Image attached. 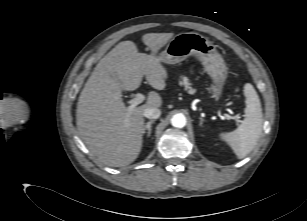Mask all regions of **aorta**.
Segmentation results:
<instances>
[{"mask_svg": "<svg viewBox=\"0 0 307 221\" xmlns=\"http://www.w3.org/2000/svg\"><path fill=\"white\" fill-rule=\"evenodd\" d=\"M171 124L177 128H183L186 125V117L183 114H175L171 118Z\"/></svg>", "mask_w": 307, "mask_h": 221, "instance_id": "aorta-1", "label": "aorta"}]
</instances>
